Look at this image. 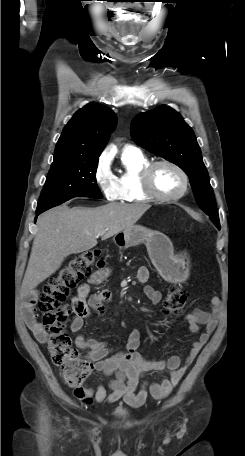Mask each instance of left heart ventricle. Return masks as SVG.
Masks as SVG:
<instances>
[{"instance_id":"obj_1","label":"left heart ventricle","mask_w":245,"mask_h":456,"mask_svg":"<svg viewBox=\"0 0 245 456\" xmlns=\"http://www.w3.org/2000/svg\"><path fill=\"white\" fill-rule=\"evenodd\" d=\"M155 189L162 195L170 196L179 193L183 187L180 174L170 166L160 165L153 174Z\"/></svg>"}]
</instances>
